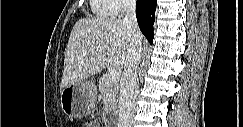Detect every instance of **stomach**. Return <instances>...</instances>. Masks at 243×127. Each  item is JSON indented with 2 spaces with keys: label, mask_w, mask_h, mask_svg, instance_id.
I'll use <instances>...</instances> for the list:
<instances>
[{
  "label": "stomach",
  "mask_w": 243,
  "mask_h": 127,
  "mask_svg": "<svg viewBox=\"0 0 243 127\" xmlns=\"http://www.w3.org/2000/svg\"><path fill=\"white\" fill-rule=\"evenodd\" d=\"M97 90L93 83L81 81L72 83L61 92V108L72 118L88 116L96 103Z\"/></svg>",
  "instance_id": "1"
}]
</instances>
